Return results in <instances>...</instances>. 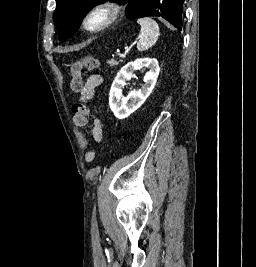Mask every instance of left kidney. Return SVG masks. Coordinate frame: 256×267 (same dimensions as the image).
Returning <instances> with one entry per match:
<instances>
[{
  "mask_svg": "<svg viewBox=\"0 0 256 267\" xmlns=\"http://www.w3.org/2000/svg\"><path fill=\"white\" fill-rule=\"evenodd\" d=\"M142 68H148V72L143 78L144 84L141 90H133L126 98H122V88L127 86V80L134 78L133 72L142 70ZM159 72L158 60L155 58H137L119 70L109 94V106L118 120L128 118L144 104L157 82Z\"/></svg>",
  "mask_w": 256,
  "mask_h": 267,
  "instance_id": "5707ae66",
  "label": "left kidney"
}]
</instances>
